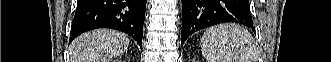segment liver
<instances>
[{"label":"liver","instance_id":"liver-1","mask_svg":"<svg viewBox=\"0 0 331 62\" xmlns=\"http://www.w3.org/2000/svg\"><path fill=\"white\" fill-rule=\"evenodd\" d=\"M129 46L126 34L97 29L82 34L70 45L71 62H109L122 55Z\"/></svg>","mask_w":331,"mask_h":62}]
</instances>
